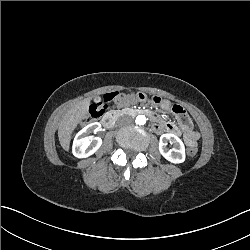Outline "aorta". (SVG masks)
<instances>
[{
  "label": "aorta",
  "mask_w": 250,
  "mask_h": 250,
  "mask_svg": "<svg viewBox=\"0 0 250 250\" xmlns=\"http://www.w3.org/2000/svg\"><path fill=\"white\" fill-rule=\"evenodd\" d=\"M135 122L138 124V125H144L146 123V117L144 115H138L136 117V120Z\"/></svg>",
  "instance_id": "762f6f07"
}]
</instances>
